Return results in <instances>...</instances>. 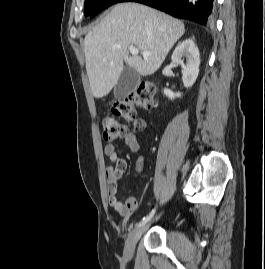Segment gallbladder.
I'll return each mask as SVG.
<instances>
[{
    "mask_svg": "<svg viewBox=\"0 0 265 269\" xmlns=\"http://www.w3.org/2000/svg\"><path fill=\"white\" fill-rule=\"evenodd\" d=\"M139 79L140 75L134 69L125 67L114 88V98L120 100L133 93Z\"/></svg>",
    "mask_w": 265,
    "mask_h": 269,
    "instance_id": "gallbladder-1",
    "label": "gallbladder"
}]
</instances>
